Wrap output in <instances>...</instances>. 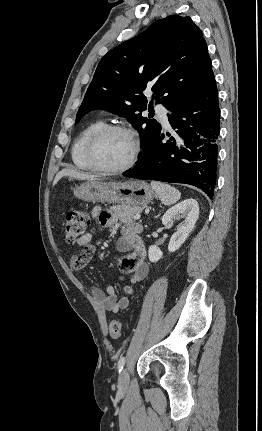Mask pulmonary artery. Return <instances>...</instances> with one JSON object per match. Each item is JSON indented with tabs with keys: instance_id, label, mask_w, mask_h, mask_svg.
Segmentation results:
<instances>
[{
	"instance_id": "obj_1",
	"label": "pulmonary artery",
	"mask_w": 262,
	"mask_h": 431,
	"mask_svg": "<svg viewBox=\"0 0 262 431\" xmlns=\"http://www.w3.org/2000/svg\"><path fill=\"white\" fill-rule=\"evenodd\" d=\"M158 114L160 116V119H161L163 125L166 128H168L169 127V121H168V118H167V109L165 107H163V106H159L158 107Z\"/></svg>"
}]
</instances>
